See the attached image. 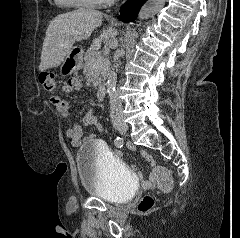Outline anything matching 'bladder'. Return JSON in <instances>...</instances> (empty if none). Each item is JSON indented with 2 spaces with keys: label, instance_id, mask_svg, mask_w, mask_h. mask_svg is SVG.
Returning <instances> with one entry per match:
<instances>
[{
  "label": "bladder",
  "instance_id": "obj_1",
  "mask_svg": "<svg viewBox=\"0 0 240 238\" xmlns=\"http://www.w3.org/2000/svg\"><path fill=\"white\" fill-rule=\"evenodd\" d=\"M76 167L81 186L104 201L125 203L136 192L130 169L101 142H84L76 153Z\"/></svg>",
  "mask_w": 240,
  "mask_h": 238
}]
</instances>
